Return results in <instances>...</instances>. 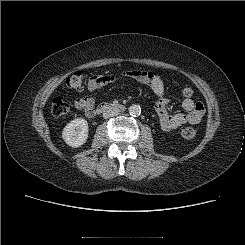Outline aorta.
I'll return each mask as SVG.
<instances>
[{
	"label": "aorta",
	"mask_w": 245,
	"mask_h": 245,
	"mask_svg": "<svg viewBox=\"0 0 245 245\" xmlns=\"http://www.w3.org/2000/svg\"><path fill=\"white\" fill-rule=\"evenodd\" d=\"M129 113L132 116H139L141 114V108L139 105H132L129 107Z\"/></svg>",
	"instance_id": "aorta-1"
}]
</instances>
